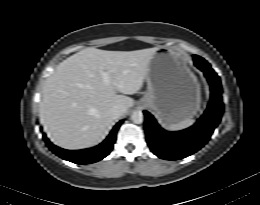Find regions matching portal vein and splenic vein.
Listing matches in <instances>:
<instances>
[{"label":"portal vein and splenic vein","mask_w":260,"mask_h":205,"mask_svg":"<svg viewBox=\"0 0 260 205\" xmlns=\"http://www.w3.org/2000/svg\"><path fill=\"white\" fill-rule=\"evenodd\" d=\"M101 76L104 80L105 83H109L110 79H109V72H101Z\"/></svg>","instance_id":"portal-vein-and-splenic-vein-1"}]
</instances>
